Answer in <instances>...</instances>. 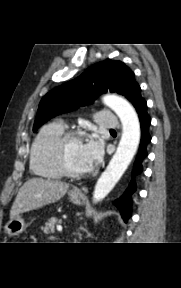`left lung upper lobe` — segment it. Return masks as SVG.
Wrapping results in <instances>:
<instances>
[{"label": "left lung upper lobe", "mask_w": 181, "mask_h": 288, "mask_svg": "<svg viewBox=\"0 0 181 288\" xmlns=\"http://www.w3.org/2000/svg\"><path fill=\"white\" fill-rule=\"evenodd\" d=\"M134 76V72L117 60L91 66L76 79L54 88L42 98L33 131L56 115L89 104L107 91L122 94L132 101L140 90Z\"/></svg>", "instance_id": "left-lung-upper-lobe-1"}]
</instances>
